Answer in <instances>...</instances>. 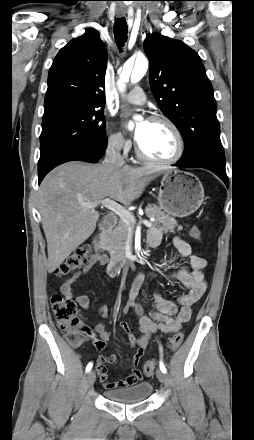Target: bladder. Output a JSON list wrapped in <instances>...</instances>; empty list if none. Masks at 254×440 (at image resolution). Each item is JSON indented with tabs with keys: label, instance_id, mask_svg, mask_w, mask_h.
Masks as SVG:
<instances>
[{
	"label": "bladder",
	"instance_id": "31cf9c89",
	"mask_svg": "<svg viewBox=\"0 0 254 440\" xmlns=\"http://www.w3.org/2000/svg\"><path fill=\"white\" fill-rule=\"evenodd\" d=\"M153 392L150 382L143 381L134 385L114 390H106L105 396L112 401L122 403H136L145 401Z\"/></svg>",
	"mask_w": 254,
	"mask_h": 440
}]
</instances>
